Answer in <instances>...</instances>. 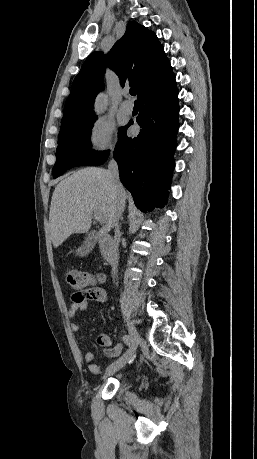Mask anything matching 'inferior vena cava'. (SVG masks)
<instances>
[{"instance_id":"602c4592","label":"inferior vena cava","mask_w":257,"mask_h":459,"mask_svg":"<svg viewBox=\"0 0 257 459\" xmlns=\"http://www.w3.org/2000/svg\"><path fill=\"white\" fill-rule=\"evenodd\" d=\"M108 178L112 188L116 194V201H115V210L113 214V223L115 226V236L111 244V255L109 262L112 266V276L115 278L118 272V260H119V239H120V231L118 226V221L121 215V212L125 206V199L122 191V186L119 179V170L118 165L115 160H111L108 164Z\"/></svg>"}]
</instances>
